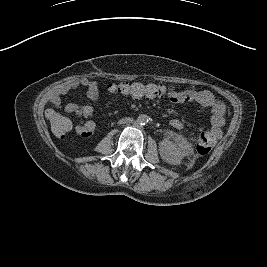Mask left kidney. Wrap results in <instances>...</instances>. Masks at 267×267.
<instances>
[{"instance_id": "5707ae66", "label": "left kidney", "mask_w": 267, "mask_h": 267, "mask_svg": "<svg viewBox=\"0 0 267 267\" xmlns=\"http://www.w3.org/2000/svg\"><path fill=\"white\" fill-rule=\"evenodd\" d=\"M159 154L163 161L169 165H180L183 153L169 140H162L159 144Z\"/></svg>"}]
</instances>
